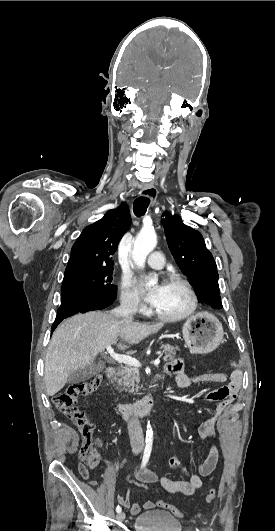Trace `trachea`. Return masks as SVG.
<instances>
[{"label": "trachea", "instance_id": "3493384b", "mask_svg": "<svg viewBox=\"0 0 275 531\" xmlns=\"http://www.w3.org/2000/svg\"><path fill=\"white\" fill-rule=\"evenodd\" d=\"M149 203L150 199L145 196H140L139 198L135 199L133 204V211L135 215L138 217L143 216L147 211Z\"/></svg>", "mask_w": 275, "mask_h": 531}]
</instances>
